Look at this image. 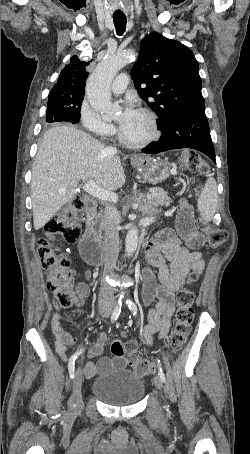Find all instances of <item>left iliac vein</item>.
<instances>
[{"label":"left iliac vein","mask_w":250,"mask_h":454,"mask_svg":"<svg viewBox=\"0 0 250 454\" xmlns=\"http://www.w3.org/2000/svg\"><path fill=\"white\" fill-rule=\"evenodd\" d=\"M153 382H154V385H155V387H156L157 389H162V380H161V378H160L159 375H156V376L154 377V381H153Z\"/></svg>","instance_id":"left-iliac-vein-1"}]
</instances>
